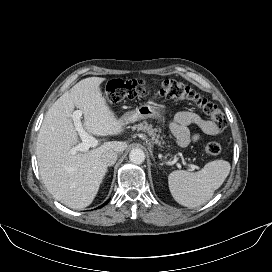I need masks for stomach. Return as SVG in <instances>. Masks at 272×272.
<instances>
[{
  "label": "stomach",
  "mask_w": 272,
  "mask_h": 272,
  "mask_svg": "<svg viewBox=\"0 0 272 272\" xmlns=\"http://www.w3.org/2000/svg\"><path fill=\"white\" fill-rule=\"evenodd\" d=\"M164 114L165 109L162 105L144 103L135 110L126 112L119 120L123 125L147 118H156L163 121L165 119Z\"/></svg>",
  "instance_id": "stomach-1"
}]
</instances>
